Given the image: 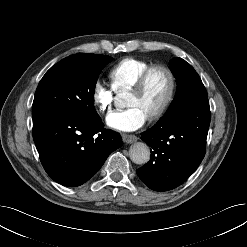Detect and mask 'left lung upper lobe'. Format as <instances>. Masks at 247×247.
<instances>
[{
  "label": "left lung upper lobe",
  "mask_w": 247,
  "mask_h": 247,
  "mask_svg": "<svg viewBox=\"0 0 247 247\" xmlns=\"http://www.w3.org/2000/svg\"><path fill=\"white\" fill-rule=\"evenodd\" d=\"M169 66L177 81V91L166 114L177 113L195 99L208 97L199 75L185 60L174 58Z\"/></svg>",
  "instance_id": "1"
}]
</instances>
